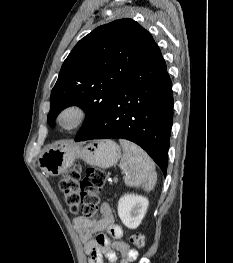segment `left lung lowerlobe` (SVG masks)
I'll return each instance as SVG.
<instances>
[{"instance_id":"0a47b994","label":"left lung lower lobe","mask_w":233,"mask_h":263,"mask_svg":"<svg viewBox=\"0 0 233 263\" xmlns=\"http://www.w3.org/2000/svg\"><path fill=\"white\" fill-rule=\"evenodd\" d=\"M173 123L172 82L155 41L97 122L79 141L122 138L141 146L166 175Z\"/></svg>"}]
</instances>
